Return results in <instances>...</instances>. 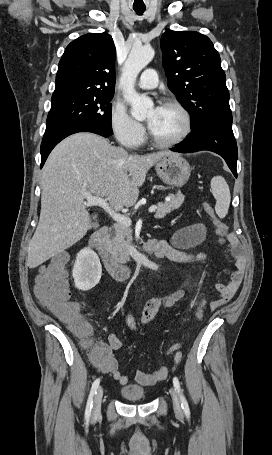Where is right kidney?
I'll return each instance as SVG.
<instances>
[{
  "label": "right kidney",
  "instance_id": "right-kidney-1",
  "mask_svg": "<svg viewBox=\"0 0 272 455\" xmlns=\"http://www.w3.org/2000/svg\"><path fill=\"white\" fill-rule=\"evenodd\" d=\"M102 266L97 254L90 248H84L76 256L72 275L75 287L88 291L100 281Z\"/></svg>",
  "mask_w": 272,
  "mask_h": 455
}]
</instances>
